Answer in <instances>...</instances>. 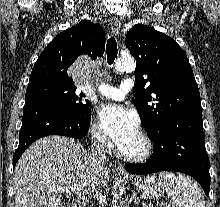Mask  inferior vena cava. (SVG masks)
Instances as JSON below:
<instances>
[{"mask_svg":"<svg viewBox=\"0 0 220 207\" xmlns=\"http://www.w3.org/2000/svg\"><path fill=\"white\" fill-rule=\"evenodd\" d=\"M106 160V137L99 133H94L92 149L90 152V161L92 165L99 166L101 164H104ZM94 192L96 193L95 196H98V191Z\"/></svg>","mask_w":220,"mask_h":207,"instance_id":"1","label":"inferior vena cava"}]
</instances>
